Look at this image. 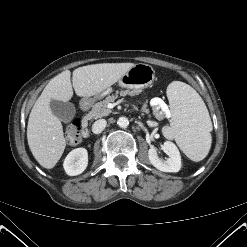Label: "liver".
<instances>
[{
  "mask_svg": "<svg viewBox=\"0 0 247 247\" xmlns=\"http://www.w3.org/2000/svg\"><path fill=\"white\" fill-rule=\"evenodd\" d=\"M133 66V63L92 64L75 69L72 83L69 70L50 80L35 102L27 125L29 148L42 167L53 168L66 146L61 121L50 108L51 100L68 102L73 96V88L80 97L99 94L115 84Z\"/></svg>",
  "mask_w": 247,
  "mask_h": 247,
  "instance_id": "liver-1",
  "label": "liver"
}]
</instances>
